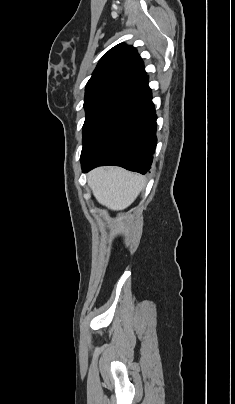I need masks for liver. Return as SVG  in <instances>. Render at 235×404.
Returning <instances> with one entry per match:
<instances>
[{
	"instance_id": "liver-1",
	"label": "liver",
	"mask_w": 235,
	"mask_h": 404,
	"mask_svg": "<svg viewBox=\"0 0 235 404\" xmlns=\"http://www.w3.org/2000/svg\"><path fill=\"white\" fill-rule=\"evenodd\" d=\"M88 185L100 204L118 211L134 202L145 186V178L120 167H99L88 174Z\"/></svg>"
}]
</instances>
